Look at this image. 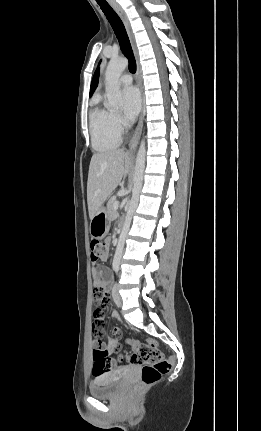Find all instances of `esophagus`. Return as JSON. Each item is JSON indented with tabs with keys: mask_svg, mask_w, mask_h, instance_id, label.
I'll use <instances>...</instances> for the list:
<instances>
[{
	"mask_svg": "<svg viewBox=\"0 0 261 431\" xmlns=\"http://www.w3.org/2000/svg\"><path fill=\"white\" fill-rule=\"evenodd\" d=\"M114 9L116 10L117 14L119 15V17L121 18L126 31L128 33V36L130 38V42L134 51V55L136 58V70H137V81H138V86L140 88V94H141V113H140V117H139V121L137 124V127L134 131V135L130 141L129 144V151L131 153L135 152L137 145H138V141L140 139L141 136V132H142V127H143V118H144V112H145V98H144V91H143V85H142V80H141V67H140V63H139V57H138V52H137V48L134 42V38H133V34L131 32V28H130V24L128 21V18L125 14V12L123 11V9L117 5L116 3L112 4Z\"/></svg>",
	"mask_w": 261,
	"mask_h": 431,
	"instance_id": "obj_1",
	"label": "esophagus"
}]
</instances>
